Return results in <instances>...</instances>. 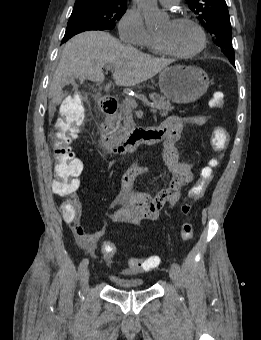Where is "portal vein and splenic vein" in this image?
I'll return each mask as SVG.
<instances>
[{"label":"portal vein and splenic vein","mask_w":261,"mask_h":340,"mask_svg":"<svg viewBox=\"0 0 261 340\" xmlns=\"http://www.w3.org/2000/svg\"><path fill=\"white\" fill-rule=\"evenodd\" d=\"M105 69L107 71H110L113 69L112 66H105ZM125 102L128 106H130L131 108H137L138 104L136 102V100L133 98V97H125ZM150 111L153 112V113H156L157 112V106L156 105H151L150 106Z\"/></svg>","instance_id":"portal-vein-and-splenic-vein-1"}]
</instances>
